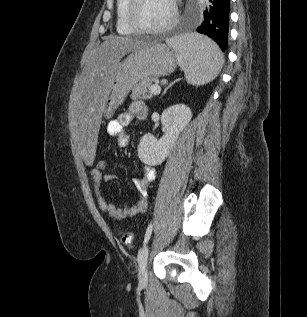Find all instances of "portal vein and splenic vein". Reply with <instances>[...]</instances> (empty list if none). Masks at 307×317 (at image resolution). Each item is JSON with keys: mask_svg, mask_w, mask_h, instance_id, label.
Instances as JSON below:
<instances>
[{"mask_svg": "<svg viewBox=\"0 0 307 317\" xmlns=\"http://www.w3.org/2000/svg\"><path fill=\"white\" fill-rule=\"evenodd\" d=\"M149 90L151 94L158 95L161 92V87L158 84H155L152 85Z\"/></svg>", "mask_w": 307, "mask_h": 317, "instance_id": "obj_1", "label": "portal vein and splenic vein"}]
</instances>
